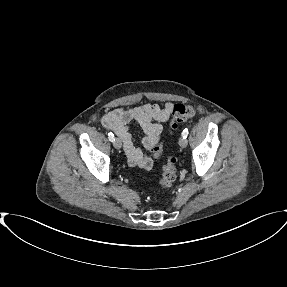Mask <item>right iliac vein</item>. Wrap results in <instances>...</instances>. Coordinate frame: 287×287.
Returning a JSON list of instances; mask_svg holds the SVG:
<instances>
[{
	"label": "right iliac vein",
	"instance_id": "1",
	"mask_svg": "<svg viewBox=\"0 0 287 287\" xmlns=\"http://www.w3.org/2000/svg\"><path fill=\"white\" fill-rule=\"evenodd\" d=\"M113 145L116 149H120L122 147V142L119 138H115L113 141Z\"/></svg>",
	"mask_w": 287,
	"mask_h": 287
}]
</instances>
